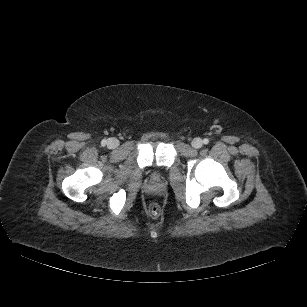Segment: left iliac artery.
I'll use <instances>...</instances> for the list:
<instances>
[{"mask_svg":"<svg viewBox=\"0 0 307 307\" xmlns=\"http://www.w3.org/2000/svg\"><path fill=\"white\" fill-rule=\"evenodd\" d=\"M203 143L204 144H208L209 143V140L207 138L203 139Z\"/></svg>","mask_w":307,"mask_h":307,"instance_id":"left-iliac-artery-1","label":"left iliac artery"}]
</instances>
